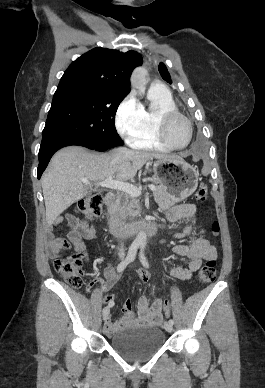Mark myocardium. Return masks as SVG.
<instances>
[{
    "mask_svg": "<svg viewBox=\"0 0 265 388\" xmlns=\"http://www.w3.org/2000/svg\"><path fill=\"white\" fill-rule=\"evenodd\" d=\"M159 90L160 89L157 87L150 89V91H159ZM173 116H177L184 121L186 128H187V132H188L187 141L183 145H180V146H175V145L171 144L166 136V133H165L166 124H167L168 120ZM156 132H157V136H158L159 140L163 144H165L167 147L173 148V149H182V148H185L189 144V142L192 138V125H191L190 120L184 114H182L180 111H178L177 109H174V108H168V109H163L158 113L157 118H156Z\"/></svg>",
    "mask_w": 265,
    "mask_h": 388,
    "instance_id": "f54148a6",
    "label": "myocardium"
}]
</instances>
